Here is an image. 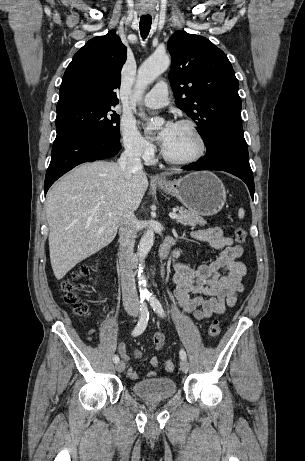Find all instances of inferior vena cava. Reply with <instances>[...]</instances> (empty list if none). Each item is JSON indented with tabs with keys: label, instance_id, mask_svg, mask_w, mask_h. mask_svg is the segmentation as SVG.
<instances>
[{
	"label": "inferior vena cava",
	"instance_id": "602c4592",
	"mask_svg": "<svg viewBox=\"0 0 305 461\" xmlns=\"http://www.w3.org/2000/svg\"><path fill=\"white\" fill-rule=\"evenodd\" d=\"M141 149L127 147L121 154L118 165L124 172L125 178L130 180L133 174H142ZM138 226L134 211L125 212L120 220L119 235V267L122 285L123 304L126 309L137 310L139 307L138 295L133 273V249L137 237Z\"/></svg>",
	"mask_w": 305,
	"mask_h": 461
}]
</instances>
